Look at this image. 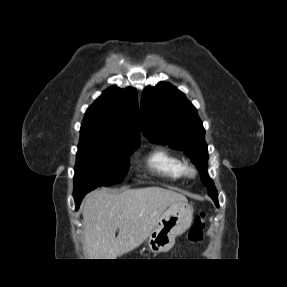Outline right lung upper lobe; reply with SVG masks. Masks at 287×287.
<instances>
[{
	"mask_svg": "<svg viewBox=\"0 0 287 287\" xmlns=\"http://www.w3.org/2000/svg\"><path fill=\"white\" fill-rule=\"evenodd\" d=\"M137 117L136 90L132 87H110L87 109L81 125V136L140 142Z\"/></svg>",
	"mask_w": 287,
	"mask_h": 287,
	"instance_id": "obj_1",
	"label": "right lung upper lobe"
}]
</instances>
